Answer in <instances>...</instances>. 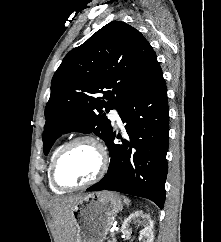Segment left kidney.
Instances as JSON below:
<instances>
[{
    "label": "left kidney",
    "mask_w": 221,
    "mask_h": 242,
    "mask_svg": "<svg viewBox=\"0 0 221 242\" xmlns=\"http://www.w3.org/2000/svg\"><path fill=\"white\" fill-rule=\"evenodd\" d=\"M143 219L144 229L140 231L139 241L142 242H153L154 234L152 231L153 222L150 219L149 215L143 213V211H135L130 214L123 222L121 231L123 234H130V224Z\"/></svg>",
    "instance_id": "obj_1"
}]
</instances>
